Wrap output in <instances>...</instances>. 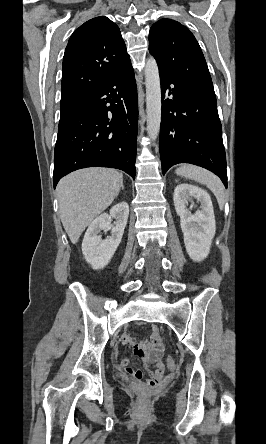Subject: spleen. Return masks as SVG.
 <instances>
[{
    "mask_svg": "<svg viewBox=\"0 0 266 444\" xmlns=\"http://www.w3.org/2000/svg\"><path fill=\"white\" fill-rule=\"evenodd\" d=\"M176 174L206 185L216 196L219 207H224V186L213 173L193 165L184 164L176 169Z\"/></svg>",
    "mask_w": 266,
    "mask_h": 444,
    "instance_id": "spleen-1",
    "label": "spleen"
}]
</instances>
